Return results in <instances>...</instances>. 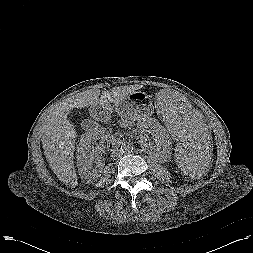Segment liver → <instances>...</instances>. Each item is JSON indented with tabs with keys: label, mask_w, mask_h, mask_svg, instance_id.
Instances as JSON below:
<instances>
[{
	"label": "liver",
	"mask_w": 253,
	"mask_h": 253,
	"mask_svg": "<svg viewBox=\"0 0 253 253\" xmlns=\"http://www.w3.org/2000/svg\"><path fill=\"white\" fill-rule=\"evenodd\" d=\"M141 88L142 85L138 84L125 85L103 91L101 96L100 89H90L61 102L47 116L42 124L43 149L50 168L60 181L73 187L78 184L73 160L76 131L73 123L67 119L71 110L98 104H116Z\"/></svg>",
	"instance_id": "obj_1"
}]
</instances>
